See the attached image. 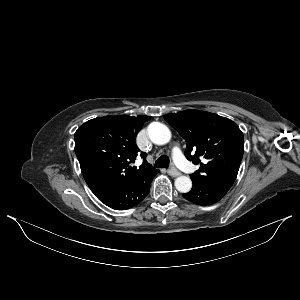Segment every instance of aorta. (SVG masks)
Wrapping results in <instances>:
<instances>
[{"label": "aorta", "mask_w": 300, "mask_h": 300, "mask_svg": "<svg viewBox=\"0 0 300 300\" xmlns=\"http://www.w3.org/2000/svg\"><path fill=\"white\" fill-rule=\"evenodd\" d=\"M150 140L157 145L167 144L171 139L169 128L159 122H153L147 129ZM175 187L181 193H187L192 188V181L188 176H179L175 180Z\"/></svg>", "instance_id": "1"}]
</instances>
